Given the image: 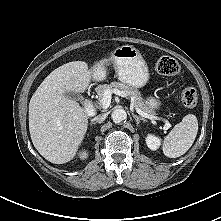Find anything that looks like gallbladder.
<instances>
[{"label":"gallbladder","mask_w":221,"mask_h":221,"mask_svg":"<svg viewBox=\"0 0 221 221\" xmlns=\"http://www.w3.org/2000/svg\"><path fill=\"white\" fill-rule=\"evenodd\" d=\"M65 96L69 99L75 100V101H81L82 98L78 93H74V92H68L65 94Z\"/></svg>","instance_id":"obj_1"}]
</instances>
